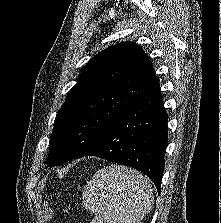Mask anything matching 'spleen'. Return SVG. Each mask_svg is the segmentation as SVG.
I'll return each instance as SVG.
<instances>
[{
  "label": "spleen",
  "mask_w": 221,
  "mask_h": 223,
  "mask_svg": "<svg viewBox=\"0 0 221 223\" xmlns=\"http://www.w3.org/2000/svg\"><path fill=\"white\" fill-rule=\"evenodd\" d=\"M82 203L91 223H140L154 202L150 180L126 166L98 170L83 189Z\"/></svg>",
  "instance_id": "spleen-1"
}]
</instances>
